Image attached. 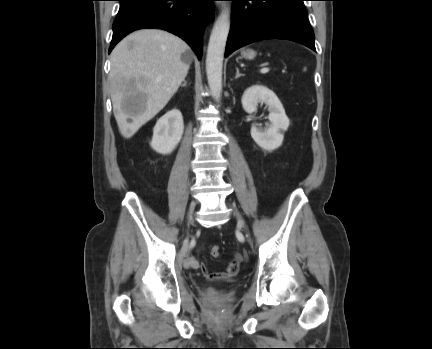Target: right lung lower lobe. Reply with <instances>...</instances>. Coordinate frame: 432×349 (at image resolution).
Masks as SVG:
<instances>
[{
    "instance_id": "obj_1",
    "label": "right lung lower lobe",
    "mask_w": 432,
    "mask_h": 349,
    "mask_svg": "<svg viewBox=\"0 0 432 349\" xmlns=\"http://www.w3.org/2000/svg\"><path fill=\"white\" fill-rule=\"evenodd\" d=\"M109 53L127 34L158 28L185 40L201 58V35L213 15L214 0H119Z\"/></svg>"
}]
</instances>
